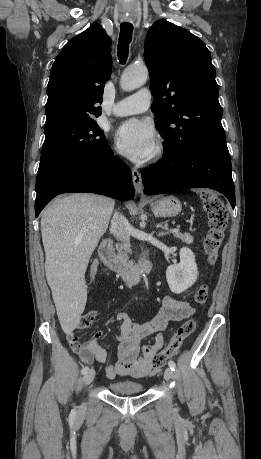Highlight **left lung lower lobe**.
<instances>
[{
	"instance_id": "left-lung-lower-lobe-1",
	"label": "left lung lower lobe",
	"mask_w": 261,
	"mask_h": 459,
	"mask_svg": "<svg viewBox=\"0 0 261 459\" xmlns=\"http://www.w3.org/2000/svg\"><path fill=\"white\" fill-rule=\"evenodd\" d=\"M144 193H170L193 187H207L224 194L235 207V189L226 140L199 144L182 155L167 153L142 170Z\"/></svg>"
}]
</instances>
